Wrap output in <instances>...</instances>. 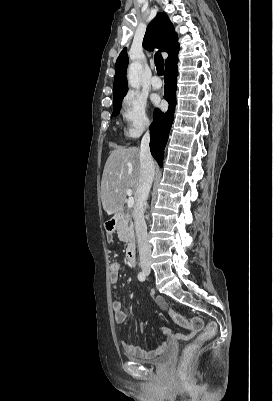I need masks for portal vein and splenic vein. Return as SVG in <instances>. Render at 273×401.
I'll return each mask as SVG.
<instances>
[{"label": "portal vein and splenic vein", "instance_id": "obj_1", "mask_svg": "<svg viewBox=\"0 0 273 401\" xmlns=\"http://www.w3.org/2000/svg\"><path fill=\"white\" fill-rule=\"evenodd\" d=\"M129 198H128V207H133L134 205V196H132V190L131 188H127L126 190Z\"/></svg>", "mask_w": 273, "mask_h": 401}]
</instances>
